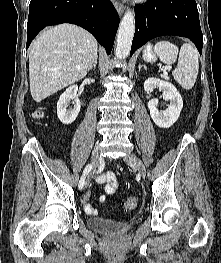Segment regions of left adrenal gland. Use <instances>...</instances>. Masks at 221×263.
<instances>
[{
  "mask_svg": "<svg viewBox=\"0 0 221 263\" xmlns=\"http://www.w3.org/2000/svg\"><path fill=\"white\" fill-rule=\"evenodd\" d=\"M141 67H143L145 70L147 69V66H146V65H141V64H140L139 67H138L139 71H140Z\"/></svg>",
  "mask_w": 221,
  "mask_h": 263,
  "instance_id": "obj_1",
  "label": "left adrenal gland"
}]
</instances>
